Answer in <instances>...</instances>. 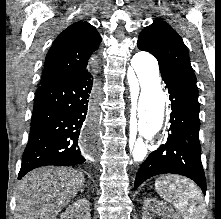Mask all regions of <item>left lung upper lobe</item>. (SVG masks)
<instances>
[{
	"instance_id": "5c2ea615",
	"label": "left lung upper lobe",
	"mask_w": 221,
	"mask_h": 219,
	"mask_svg": "<svg viewBox=\"0 0 221 219\" xmlns=\"http://www.w3.org/2000/svg\"><path fill=\"white\" fill-rule=\"evenodd\" d=\"M137 44L140 50L157 58L161 75H172L197 88L188 50L179 34L166 22L154 20L142 30Z\"/></svg>"
}]
</instances>
